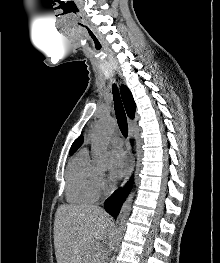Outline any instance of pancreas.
<instances>
[{
  "instance_id": "obj_1",
  "label": "pancreas",
  "mask_w": 220,
  "mask_h": 263,
  "mask_svg": "<svg viewBox=\"0 0 220 263\" xmlns=\"http://www.w3.org/2000/svg\"><path fill=\"white\" fill-rule=\"evenodd\" d=\"M100 256H101L100 250L97 249V250L92 251V257L94 258V260L98 259Z\"/></svg>"
}]
</instances>
